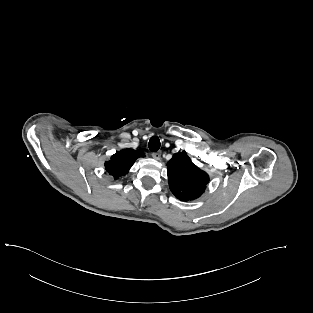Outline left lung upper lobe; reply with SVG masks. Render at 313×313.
<instances>
[{
    "label": "left lung upper lobe",
    "instance_id": "left-lung-upper-lobe-1",
    "mask_svg": "<svg viewBox=\"0 0 313 313\" xmlns=\"http://www.w3.org/2000/svg\"><path fill=\"white\" fill-rule=\"evenodd\" d=\"M167 167L169 187L176 198L189 201L203 194L209 176L193 164L185 153L174 154Z\"/></svg>",
    "mask_w": 313,
    "mask_h": 313
}]
</instances>
